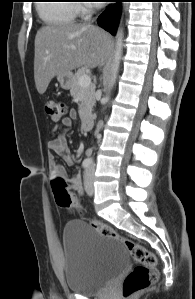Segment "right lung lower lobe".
I'll return each instance as SVG.
<instances>
[{
    "label": "right lung lower lobe",
    "mask_w": 195,
    "mask_h": 299,
    "mask_svg": "<svg viewBox=\"0 0 195 299\" xmlns=\"http://www.w3.org/2000/svg\"><path fill=\"white\" fill-rule=\"evenodd\" d=\"M120 2L122 0H115ZM120 17V5L117 4L114 6V10H106L100 17L98 18V24L103 27L105 30L109 31L112 34L116 33V29L118 26V21Z\"/></svg>",
    "instance_id": "98d812e1"
}]
</instances>
